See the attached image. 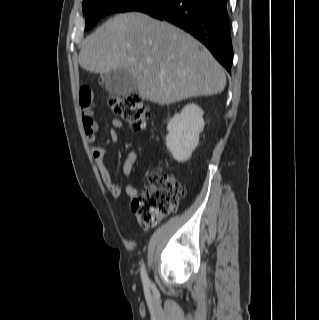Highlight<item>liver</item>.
Wrapping results in <instances>:
<instances>
[{
    "label": "liver",
    "mask_w": 319,
    "mask_h": 320,
    "mask_svg": "<svg viewBox=\"0 0 319 320\" xmlns=\"http://www.w3.org/2000/svg\"><path fill=\"white\" fill-rule=\"evenodd\" d=\"M78 60L97 74L125 69L142 99L162 105L221 93L226 85L223 67L199 41L142 13L109 19L83 41Z\"/></svg>",
    "instance_id": "6515ba94"
}]
</instances>
